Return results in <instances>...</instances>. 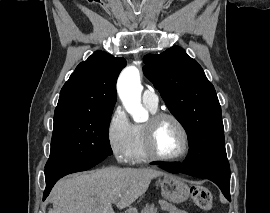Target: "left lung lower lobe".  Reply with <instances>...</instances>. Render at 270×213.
I'll list each match as a JSON object with an SVG mask.
<instances>
[{
    "label": "left lung lower lobe",
    "instance_id": "obj_1",
    "mask_svg": "<svg viewBox=\"0 0 270 213\" xmlns=\"http://www.w3.org/2000/svg\"><path fill=\"white\" fill-rule=\"evenodd\" d=\"M161 168L171 173L182 172L194 177H202L201 171L198 169L197 163L193 162V159L190 155L187 156L186 161L182 166L178 165H161ZM213 181L223 192L224 196L230 201V179L221 180L217 178H207Z\"/></svg>",
    "mask_w": 270,
    "mask_h": 213
}]
</instances>
